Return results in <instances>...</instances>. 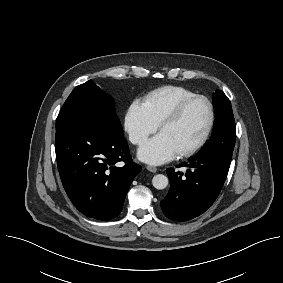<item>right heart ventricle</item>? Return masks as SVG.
I'll use <instances>...</instances> for the list:
<instances>
[{
    "instance_id": "1",
    "label": "right heart ventricle",
    "mask_w": 283,
    "mask_h": 283,
    "mask_svg": "<svg viewBox=\"0 0 283 283\" xmlns=\"http://www.w3.org/2000/svg\"><path fill=\"white\" fill-rule=\"evenodd\" d=\"M195 95L182 86H164L148 93L143 100L150 117L159 125L184 99Z\"/></svg>"
}]
</instances>
